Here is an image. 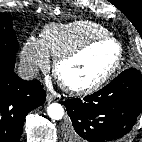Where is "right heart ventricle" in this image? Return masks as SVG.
<instances>
[{
    "instance_id": "obj_1",
    "label": "right heart ventricle",
    "mask_w": 142,
    "mask_h": 142,
    "mask_svg": "<svg viewBox=\"0 0 142 142\" xmlns=\"http://www.w3.org/2000/svg\"><path fill=\"white\" fill-rule=\"evenodd\" d=\"M109 35L106 28L92 21H76L69 24H50L42 32L41 42L53 58L67 53L84 42Z\"/></svg>"
}]
</instances>
